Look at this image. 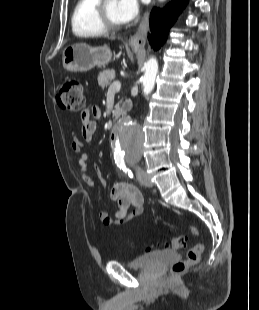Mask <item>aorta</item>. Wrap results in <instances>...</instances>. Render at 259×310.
<instances>
[{
	"mask_svg": "<svg viewBox=\"0 0 259 310\" xmlns=\"http://www.w3.org/2000/svg\"><path fill=\"white\" fill-rule=\"evenodd\" d=\"M157 72L158 62L152 57L145 65L143 76V92L145 95L150 94L153 90ZM143 143L144 133L142 128L131 118H122L116 126L112 140L114 153L128 160H137L142 154Z\"/></svg>",
	"mask_w": 259,
	"mask_h": 310,
	"instance_id": "aorta-1",
	"label": "aorta"
}]
</instances>
